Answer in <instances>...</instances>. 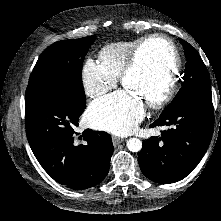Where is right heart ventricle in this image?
<instances>
[{
  "label": "right heart ventricle",
  "mask_w": 221,
  "mask_h": 221,
  "mask_svg": "<svg viewBox=\"0 0 221 221\" xmlns=\"http://www.w3.org/2000/svg\"><path fill=\"white\" fill-rule=\"evenodd\" d=\"M119 41L106 45L99 53L98 65L110 78H119L133 47L142 39Z\"/></svg>",
  "instance_id": "e07e8e85"
}]
</instances>
